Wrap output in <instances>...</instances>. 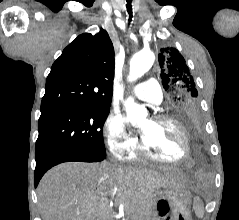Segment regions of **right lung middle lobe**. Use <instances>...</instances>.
<instances>
[{
	"instance_id": "1",
	"label": "right lung middle lobe",
	"mask_w": 239,
	"mask_h": 220,
	"mask_svg": "<svg viewBox=\"0 0 239 220\" xmlns=\"http://www.w3.org/2000/svg\"><path fill=\"white\" fill-rule=\"evenodd\" d=\"M109 112V107L41 112L36 158L58 150L106 155L102 128Z\"/></svg>"
}]
</instances>
